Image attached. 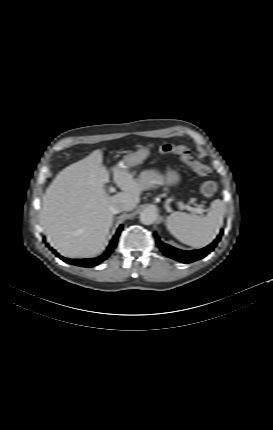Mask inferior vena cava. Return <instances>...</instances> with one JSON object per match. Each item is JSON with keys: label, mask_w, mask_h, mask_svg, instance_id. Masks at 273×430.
I'll list each match as a JSON object with an SVG mask.
<instances>
[{"label": "inferior vena cava", "mask_w": 273, "mask_h": 430, "mask_svg": "<svg viewBox=\"0 0 273 430\" xmlns=\"http://www.w3.org/2000/svg\"><path fill=\"white\" fill-rule=\"evenodd\" d=\"M109 209H110L112 214H117V213H120L122 211H126L127 207L125 204L119 202V203H115L114 205L110 206Z\"/></svg>", "instance_id": "inferior-vena-cava-1"}]
</instances>
